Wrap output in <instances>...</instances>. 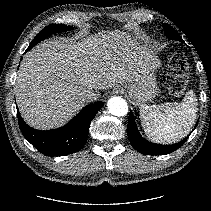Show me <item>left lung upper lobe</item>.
<instances>
[{"instance_id":"left-lung-upper-lobe-1","label":"left lung upper lobe","mask_w":211,"mask_h":211,"mask_svg":"<svg viewBox=\"0 0 211 211\" xmlns=\"http://www.w3.org/2000/svg\"><path fill=\"white\" fill-rule=\"evenodd\" d=\"M165 35L172 40H181V37L178 33L168 24H164Z\"/></svg>"}]
</instances>
